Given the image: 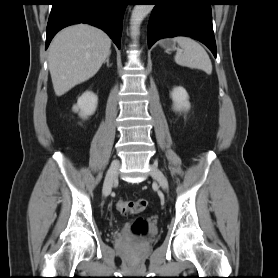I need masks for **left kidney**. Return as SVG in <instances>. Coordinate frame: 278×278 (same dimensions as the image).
<instances>
[{
  "label": "left kidney",
  "instance_id": "1",
  "mask_svg": "<svg viewBox=\"0 0 278 278\" xmlns=\"http://www.w3.org/2000/svg\"><path fill=\"white\" fill-rule=\"evenodd\" d=\"M176 111L188 110L190 108L189 96L183 87H175L171 93Z\"/></svg>",
  "mask_w": 278,
  "mask_h": 278
}]
</instances>
